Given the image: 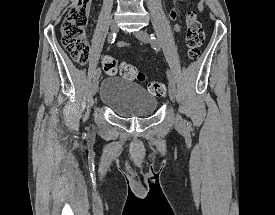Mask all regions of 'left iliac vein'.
Segmentation results:
<instances>
[{
  "instance_id": "1",
  "label": "left iliac vein",
  "mask_w": 275,
  "mask_h": 215,
  "mask_svg": "<svg viewBox=\"0 0 275 215\" xmlns=\"http://www.w3.org/2000/svg\"><path fill=\"white\" fill-rule=\"evenodd\" d=\"M135 36L142 42L148 43L150 41L149 34L144 30H139V31L135 32ZM169 96H170L172 101L175 100L176 87H175V84L172 83V82H169ZM175 124H176L177 127L182 126L183 119L181 118L180 115H176Z\"/></svg>"
}]
</instances>
